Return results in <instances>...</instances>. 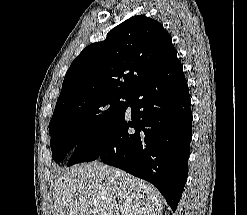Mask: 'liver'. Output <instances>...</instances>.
Returning <instances> with one entry per match:
<instances>
[{"label": "liver", "mask_w": 247, "mask_h": 215, "mask_svg": "<svg viewBox=\"0 0 247 215\" xmlns=\"http://www.w3.org/2000/svg\"><path fill=\"white\" fill-rule=\"evenodd\" d=\"M53 215H162L151 184L100 162L75 165L53 185Z\"/></svg>", "instance_id": "liver-1"}]
</instances>
